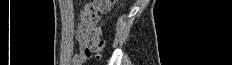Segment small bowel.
I'll return each mask as SVG.
<instances>
[{
	"label": "small bowel",
	"instance_id": "obj_1",
	"mask_svg": "<svg viewBox=\"0 0 232 65\" xmlns=\"http://www.w3.org/2000/svg\"><path fill=\"white\" fill-rule=\"evenodd\" d=\"M76 40L79 44V54L74 57V63L79 65L81 64L87 57L88 55V42H87V34L80 23L78 26V29L76 31Z\"/></svg>",
	"mask_w": 232,
	"mask_h": 65
}]
</instances>
